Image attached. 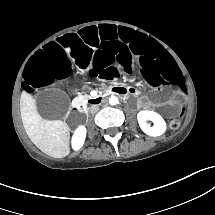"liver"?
<instances>
[{
    "instance_id": "1",
    "label": "liver",
    "mask_w": 215,
    "mask_h": 215,
    "mask_svg": "<svg viewBox=\"0 0 215 215\" xmlns=\"http://www.w3.org/2000/svg\"><path fill=\"white\" fill-rule=\"evenodd\" d=\"M20 104L22 123L30 140L49 156L62 158L68 155L70 152L68 125L61 120L43 119L26 92L22 93Z\"/></svg>"
}]
</instances>
